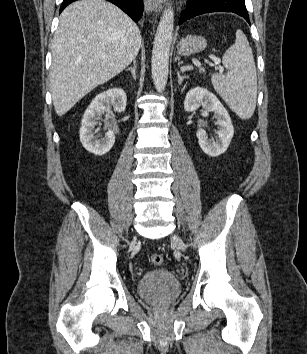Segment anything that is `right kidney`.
I'll list each match as a JSON object with an SVG mask.
<instances>
[{"label":"right kidney","mask_w":307,"mask_h":354,"mask_svg":"<svg viewBox=\"0 0 307 354\" xmlns=\"http://www.w3.org/2000/svg\"><path fill=\"white\" fill-rule=\"evenodd\" d=\"M127 96L123 89L112 88L98 94L86 109L80 128V141L83 147L97 156H102L110 151L115 142V135L112 130H108L105 136L98 139L95 136V126L105 112L110 111L113 106L114 111L123 112L126 108Z\"/></svg>","instance_id":"1"}]
</instances>
